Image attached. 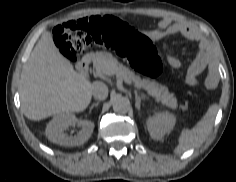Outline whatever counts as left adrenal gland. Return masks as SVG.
<instances>
[{
  "mask_svg": "<svg viewBox=\"0 0 236 182\" xmlns=\"http://www.w3.org/2000/svg\"><path fill=\"white\" fill-rule=\"evenodd\" d=\"M134 94H135V99H136L135 107L140 111L141 100H143L144 97L143 96H139L138 92L136 90L134 91Z\"/></svg>",
  "mask_w": 236,
  "mask_h": 182,
  "instance_id": "a2214340",
  "label": "left adrenal gland"
}]
</instances>
